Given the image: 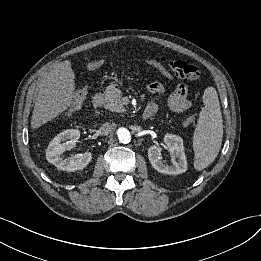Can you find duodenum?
<instances>
[{
    "mask_svg": "<svg viewBox=\"0 0 261 261\" xmlns=\"http://www.w3.org/2000/svg\"><path fill=\"white\" fill-rule=\"evenodd\" d=\"M103 103V95L97 93L93 98V105L97 108L101 107ZM153 115V111L150 108H145L142 114V120H148Z\"/></svg>",
    "mask_w": 261,
    "mask_h": 261,
    "instance_id": "1",
    "label": "duodenum"
}]
</instances>
